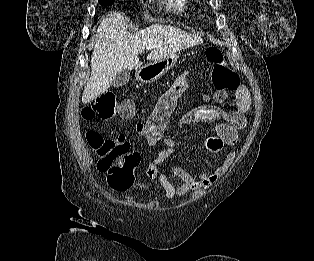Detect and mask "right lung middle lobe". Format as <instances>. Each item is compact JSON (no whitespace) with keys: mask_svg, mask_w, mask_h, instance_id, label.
<instances>
[{"mask_svg":"<svg viewBox=\"0 0 314 261\" xmlns=\"http://www.w3.org/2000/svg\"><path fill=\"white\" fill-rule=\"evenodd\" d=\"M114 0H99V3L103 6H107L110 5L111 3H113Z\"/></svg>","mask_w":314,"mask_h":261,"instance_id":"dd1d6c3e","label":"right lung middle lobe"}]
</instances>
